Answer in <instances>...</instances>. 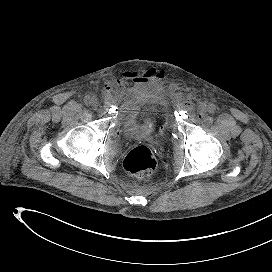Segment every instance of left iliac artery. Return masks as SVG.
Returning a JSON list of instances; mask_svg holds the SVG:
<instances>
[{"label":"left iliac artery","instance_id":"left-iliac-artery-1","mask_svg":"<svg viewBox=\"0 0 272 272\" xmlns=\"http://www.w3.org/2000/svg\"><path fill=\"white\" fill-rule=\"evenodd\" d=\"M216 111V106L214 104H210L208 106V112L213 114Z\"/></svg>","mask_w":272,"mask_h":272}]
</instances>
